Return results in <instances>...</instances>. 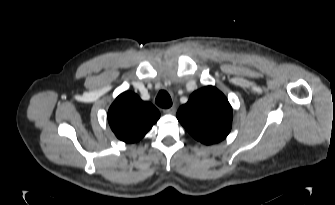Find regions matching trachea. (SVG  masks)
<instances>
[{
	"instance_id": "obj_1",
	"label": "trachea",
	"mask_w": 335,
	"mask_h": 205,
	"mask_svg": "<svg viewBox=\"0 0 335 205\" xmlns=\"http://www.w3.org/2000/svg\"><path fill=\"white\" fill-rule=\"evenodd\" d=\"M155 102L161 108H170L172 106L171 97L168 92L164 90L158 93Z\"/></svg>"
}]
</instances>
